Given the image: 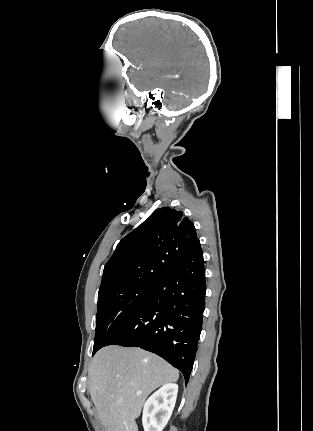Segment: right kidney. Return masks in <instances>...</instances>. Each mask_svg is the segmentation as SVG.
Returning a JSON list of instances; mask_svg holds the SVG:
<instances>
[{"label": "right kidney", "mask_w": 313, "mask_h": 431, "mask_svg": "<svg viewBox=\"0 0 313 431\" xmlns=\"http://www.w3.org/2000/svg\"><path fill=\"white\" fill-rule=\"evenodd\" d=\"M178 385L168 383L152 394L144 404L142 424L144 431H162L174 409Z\"/></svg>", "instance_id": "ca27d5eb"}]
</instances>
